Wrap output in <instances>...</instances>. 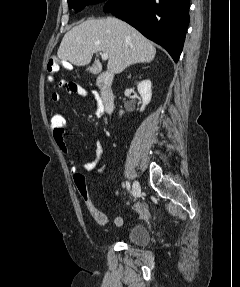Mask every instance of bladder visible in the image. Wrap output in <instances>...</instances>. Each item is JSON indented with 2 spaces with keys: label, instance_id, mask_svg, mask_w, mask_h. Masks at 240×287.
Segmentation results:
<instances>
[{
  "label": "bladder",
  "instance_id": "31cf9c89",
  "mask_svg": "<svg viewBox=\"0 0 240 287\" xmlns=\"http://www.w3.org/2000/svg\"><path fill=\"white\" fill-rule=\"evenodd\" d=\"M125 239L136 245H145L150 241V234L146 227L134 225L127 231Z\"/></svg>",
  "mask_w": 240,
  "mask_h": 287
}]
</instances>
